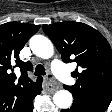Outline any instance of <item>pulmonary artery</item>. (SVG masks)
I'll return each instance as SVG.
<instances>
[{
  "instance_id": "e3ab8cb5",
  "label": "pulmonary artery",
  "mask_w": 112,
  "mask_h": 112,
  "mask_svg": "<svg viewBox=\"0 0 112 112\" xmlns=\"http://www.w3.org/2000/svg\"><path fill=\"white\" fill-rule=\"evenodd\" d=\"M52 71L56 77L62 82H68L70 79L69 73L64 64L55 60L52 62Z\"/></svg>"
}]
</instances>
